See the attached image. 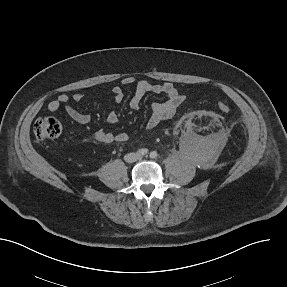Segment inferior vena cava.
<instances>
[{
    "instance_id": "obj_1",
    "label": "inferior vena cava",
    "mask_w": 287,
    "mask_h": 287,
    "mask_svg": "<svg viewBox=\"0 0 287 287\" xmlns=\"http://www.w3.org/2000/svg\"><path fill=\"white\" fill-rule=\"evenodd\" d=\"M140 158V155L137 153H129L124 156V160L128 163L137 161Z\"/></svg>"
}]
</instances>
